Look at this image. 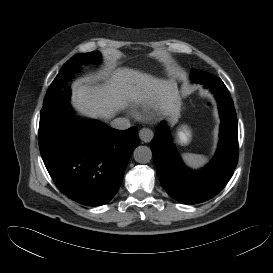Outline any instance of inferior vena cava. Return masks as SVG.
Listing matches in <instances>:
<instances>
[{"label":"inferior vena cava","instance_id":"602c4592","mask_svg":"<svg viewBox=\"0 0 273 273\" xmlns=\"http://www.w3.org/2000/svg\"><path fill=\"white\" fill-rule=\"evenodd\" d=\"M130 126V121L124 117L115 118L113 121H111V127L118 130H125L130 128Z\"/></svg>","mask_w":273,"mask_h":273}]
</instances>
